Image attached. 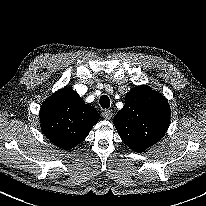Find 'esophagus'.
Masks as SVG:
<instances>
[{
	"label": "esophagus",
	"mask_w": 206,
	"mask_h": 206,
	"mask_svg": "<svg viewBox=\"0 0 206 206\" xmlns=\"http://www.w3.org/2000/svg\"><path fill=\"white\" fill-rule=\"evenodd\" d=\"M113 112L111 110H104L102 116L104 119L109 120L112 118Z\"/></svg>",
	"instance_id": "1"
}]
</instances>
